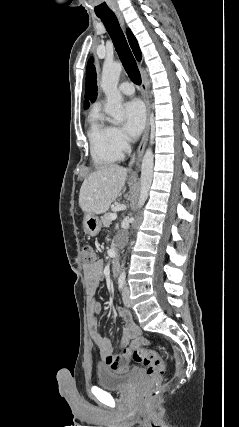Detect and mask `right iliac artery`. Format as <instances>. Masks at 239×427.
<instances>
[{
  "instance_id": "1",
  "label": "right iliac artery",
  "mask_w": 239,
  "mask_h": 427,
  "mask_svg": "<svg viewBox=\"0 0 239 427\" xmlns=\"http://www.w3.org/2000/svg\"><path fill=\"white\" fill-rule=\"evenodd\" d=\"M124 285H125V277L120 276L118 280V287L120 291L123 289Z\"/></svg>"
}]
</instances>
